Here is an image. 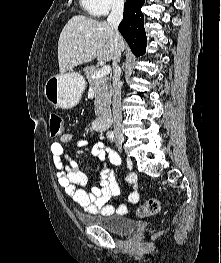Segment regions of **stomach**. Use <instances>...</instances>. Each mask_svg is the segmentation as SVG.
<instances>
[{
	"label": "stomach",
	"instance_id": "obj_1",
	"mask_svg": "<svg viewBox=\"0 0 221 263\" xmlns=\"http://www.w3.org/2000/svg\"><path fill=\"white\" fill-rule=\"evenodd\" d=\"M85 89V79L77 72L61 73L50 77L44 87L46 99L55 107L72 109Z\"/></svg>",
	"mask_w": 221,
	"mask_h": 263
}]
</instances>
